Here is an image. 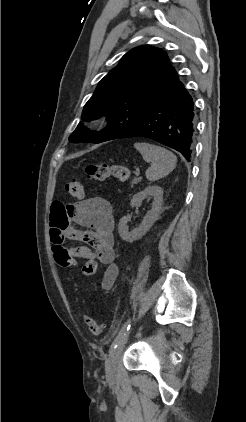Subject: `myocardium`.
<instances>
[{
  "label": "myocardium",
  "instance_id": "f54148a6",
  "mask_svg": "<svg viewBox=\"0 0 246 422\" xmlns=\"http://www.w3.org/2000/svg\"><path fill=\"white\" fill-rule=\"evenodd\" d=\"M102 122H103V119L100 118V117H97L93 120V124H95V125H101Z\"/></svg>",
  "mask_w": 246,
  "mask_h": 422
}]
</instances>
